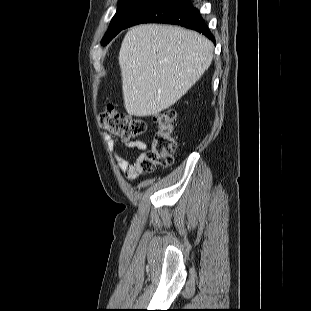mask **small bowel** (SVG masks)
Listing matches in <instances>:
<instances>
[{
    "instance_id": "small-bowel-1",
    "label": "small bowel",
    "mask_w": 311,
    "mask_h": 311,
    "mask_svg": "<svg viewBox=\"0 0 311 311\" xmlns=\"http://www.w3.org/2000/svg\"><path fill=\"white\" fill-rule=\"evenodd\" d=\"M105 141L107 143V146L110 152L115 155L118 168L124 174V176L128 180H133L136 177H138V175L142 172L141 166H140L141 161L147 152L146 143L141 140L122 139V141L128 148H135L140 151L136 161L134 163H131L125 157H123L121 154L118 153L116 149V144L118 142V139H115L111 136L106 135Z\"/></svg>"
}]
</instances>
